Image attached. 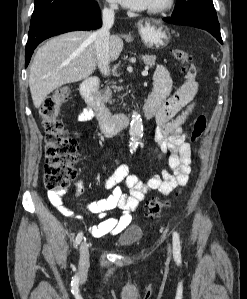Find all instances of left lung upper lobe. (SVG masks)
<instances>
[{"label":"left lung upper lobe","mask_w":247,"mask_h":299,"mask_svg":"<svg viewBox=\"0 0 247 299\" xmlns=\"http://www.w3.org/2000/svg\"><path fill=\"white\" fill-rule=\"evenodd\" d=\"M189 10H200L217 16L212 0H176L172 15H178Z\"/></svg>","instance_id":"5c2ea615"}]
</instances>
